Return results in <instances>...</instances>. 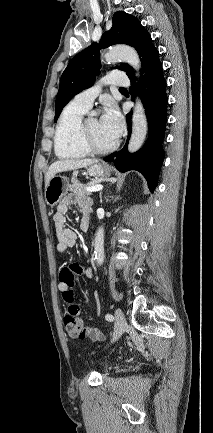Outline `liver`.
<instances>
[{
  "mask_svg": "<svg viewBox=\"0 0 213 433\" xmlns=\"http://www.w3.org/2000/svg\"><path fill=\"white\" fill-rule=\"evenodd\" d=\"M97 162L98 160L96 159H82V160L67 159V160L56 161L49 167L46 173L45 187L48 185L50 179L53 178L59 172L87 167Z\"/></svg>",
  "mask_w": 213,
  "mask_h": 433,
  "instance_id": "liver-1",
  "label": "liver"
}]
</instances>
